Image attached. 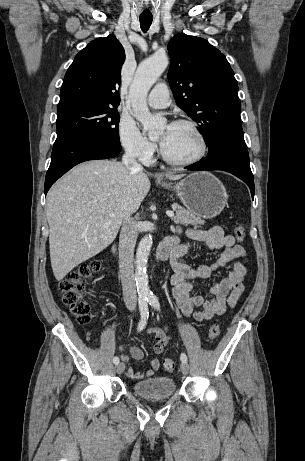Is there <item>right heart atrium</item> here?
<instances>
[{
  "instance_id": "right-heart-atrium-1",
  "label": "right heart atrium",
  "mask_w": 305,
  "mask_h": 461,
  "mask_svg": "<svg viewBox=\"0 0 305 461\" xmlns=\"http://www.w3.org/2000/svg\"><path fill=\"white\" fill-rule=\"evenodd\" d=\"M118 137L124 150L132 157L149 163L156 151V145L139 130L136 123L122 117L118 124Z\"/></svg>"
}]
</instances>
